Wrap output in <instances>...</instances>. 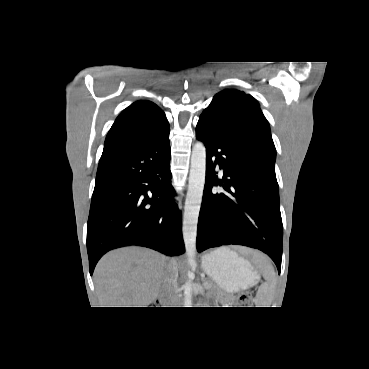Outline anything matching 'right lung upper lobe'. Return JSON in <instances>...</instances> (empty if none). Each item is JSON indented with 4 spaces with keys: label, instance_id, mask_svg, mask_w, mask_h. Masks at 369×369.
I'll return each instance as SVG.
<instances>
[{
    "label": "right lung upper lobe",
    "instance_id": "obj_1",
    "mask_svg": "<svg viewBox=\"0 0 369 369\" xmlns=\"http://www.w3.org/2000/svg\"><path fill=\"white\" fill-rule=\"evenodd\" d=\"M170 130L164 112L150 101L127 107L112 125L101 158L125 148L162 137Z\"/></svg>",
    "mask_w": 369,
    "mask_h": 369
}]
</instances>
